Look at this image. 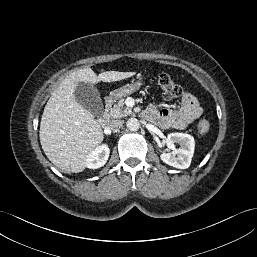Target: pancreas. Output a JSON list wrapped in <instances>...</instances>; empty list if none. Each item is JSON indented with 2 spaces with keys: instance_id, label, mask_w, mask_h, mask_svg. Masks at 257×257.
Returning <instances> with one entry per match:
<instances>
[{
  "instance_id": "cf45deb5",
  "label": "pancreas",
  "mask_w": 257,
  "mask_h": 257,
  "mask_svg": "<svg viewBox=\"0 0 257 257\" xmlns=\"http://www.w3.org/2000/svg\"><path fill=\"white\" fill-rule=\"evenodd\" d=\"M133 112L130 108L124 107V100L120 99L109 111L111 119H119L131 115Z\"/></svg>"
}]
</instances>
